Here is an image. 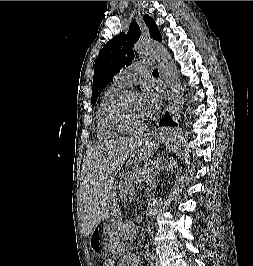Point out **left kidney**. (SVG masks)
I'll return each instance as SVG.
<instances>
[{"label": "left kidney", "mask_w": 253, "mask_h": 266, "mask_svg": "<svg viewBox=\"0 0 253 266\" xmlns=\"http://www.w3.org/2000/svg\"><path fill=\"white\" fill-rule=\"evenodd\" d=\"M138 234V229L134 222L127 221L124 226V236L126 239L132 240Z\"/></svg>", "instance_id": "obj_1"}]
</instances>
